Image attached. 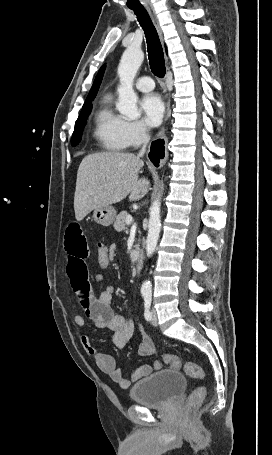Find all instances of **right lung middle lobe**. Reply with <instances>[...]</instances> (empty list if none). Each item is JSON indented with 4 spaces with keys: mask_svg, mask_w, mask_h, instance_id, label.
<instances>
[{
    "mask_svg": "<svg viewBox=\"0 0 272 455\" xmlns=\"http://www.w3.org/2000/svg\"><path fill=\"white\" fill-rule=\"evenodd\" d=\"M92 101L85 102L83 108L80 112V115L75 123V129L73 132V136L71 138L72 146H76L81 141L82 131L86 124V119L91 112L92 109Z\"/></svg>",
    "mask_w": 272,
    "mask_h": 455,
    "instance_id": "dd1d6c3e",
    "label": "right lung middle lobe"
}]
</instances>
